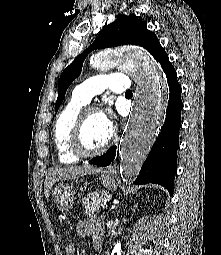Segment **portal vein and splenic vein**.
Wrapping results in <instances>:
<instances>
[{
	"mask_svg": "<svg viewBox=\"0 0 221 255\" xmlns=\"http://www.w3.org/2000/svg\"><path fill=\"white\" fill-rule=\"evenodd\" d=\"M102 206H103V207H104V206H106V207H107L106 200H105L104 204H102ZM111 208H114V206H111Z\"/></svg>",
	"mask_w": 221,
	"mask_h": 255,
	"instance_id": "18ae733b",
	"label": "portal vein and splenic vein"
}]
</instances>
